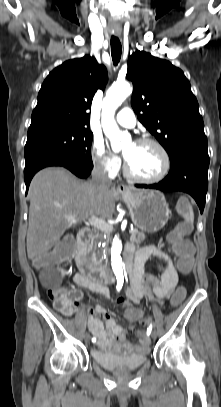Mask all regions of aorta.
<instances>
[{
	"label": "aorta",
	"instance_id": "obj_1",
	"mask_svg": "<svg viewBox=\"0 0 221 407\" xmlns=\"http://www.w3.org/2000/svg\"><path fill=\"white\" fill-rule=\"evenodd\" d=\"M132 93L129 83L112 85L106 93L102 105V127L105 135L110 139L114 149L120 145L121 132L114 120L115 110ZM122 242L115 236L111 248V265L118 281H123V263L121 258Z\"/></svg>",
	"mask_w": 221,
	"mask_h": 407
}]
</instances>
